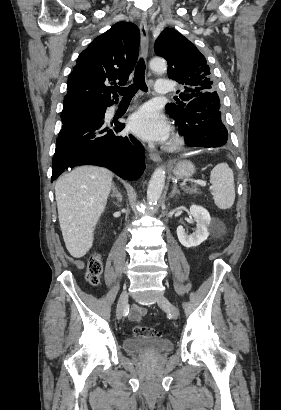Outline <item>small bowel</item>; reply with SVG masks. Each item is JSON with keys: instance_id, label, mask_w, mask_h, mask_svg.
<instances>
[{"instance_id": "small-bowel-1", "label": "small bowel", "mask_w": 281, "mask_h": 410, "mask_svg": "<svg viewBox=\"0 0 281 410\" xmlns=\"http://www.w3.org/2000/svg\"><path fill=\"white\" fill-rule=\"evenodd\" d=\"M146 314V310L138 305H134L129 312V319L138 322Z\"/></svg>"}]
</instances>
